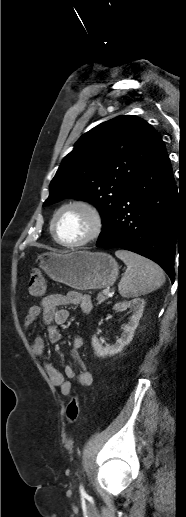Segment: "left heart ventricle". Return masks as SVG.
<instances>
[{"label":"left heart ventricle","instance_id":"obj_1","mask_svg":"<svg viewBox=\"0 0 186 517\" xmlns=\"http://www.w3.org/2000/svg\"><path fill=\"white\" fill-rule=\"evenodd\" d=\"M91 227L88 214L79 208L64 210L56 222V233L64 242H77L86 236Z\"/></svg>","mask_w":186,"mask_h":517}]
</instances>
